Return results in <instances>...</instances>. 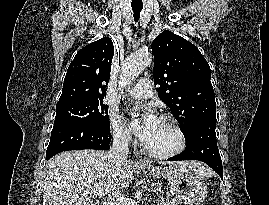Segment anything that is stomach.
Instances as JSON below:
<instances>
[{"mask_svg": "<svg viewBox=\"0 0 269 205\" xmlns=\"http://www.w3.org/2000/svg\"><path fill=\"white\" fill-rule=\"evenodd\" d=\"M140 169L147 175L165 178L178 204L199 205L207 196V186L202 175L185 166L174 164L166 168H158L146 164Z\"/></svg>", "mask_w": 269, "mask_h": 205, "instance_id": "stomach-1", "label": "stomach"}]
</instances>
